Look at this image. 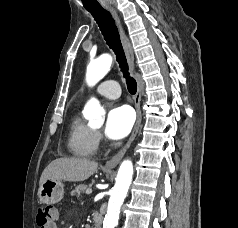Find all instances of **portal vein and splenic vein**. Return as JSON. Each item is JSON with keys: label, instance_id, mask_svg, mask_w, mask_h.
<instances>
[{"label": "portal vein and splenic vein", "instance_id": "portal-vein-and-splenic-vein-1", "mask_svg": "<svg viewBox=\"0 0 238 228\" xmlns=\"http://www.w3.org/2000/svg\"><path fill=\"white\" fill-rule=\"evenodd\" d=\"M86 193H87V194H91V193H92V190H91V189H88V190H86Z\"/></svg>", "mask_w": 238, "mask_h": 228}]
</instances>
